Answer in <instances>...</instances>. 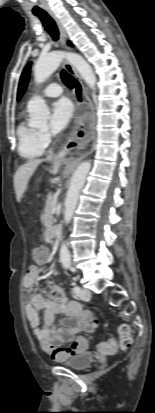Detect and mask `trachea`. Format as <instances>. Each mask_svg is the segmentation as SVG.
Returning a JSON list of instances; mask_svg holds the SVG:
<instances>
[{
  "label": "trachea",
  "instance_id": "trachea-1",
  "mask_svg": "<svg viewBox=\"0 0 155 413\" xmlns=\"http://www.w3.org/2000/svg\"><path fill=\"white\" fill-rule=\"evenodd\" d=\"M35 16H37L41 20L45 30L50 34L52 39L54 41H57L59 37V32H58L56 23L52 19V17L46 12L37 13L35 14ZM60 75H61L62 81L67 87L73 88L75 86L74 78L66 70H62Z\"/></svg>",
  "mask_w": 155,
  "mask_h": 413
}]
</instances>
